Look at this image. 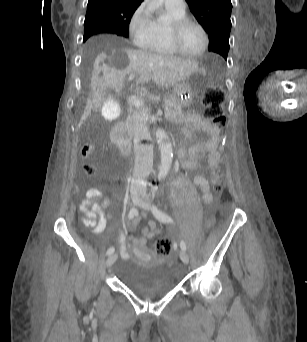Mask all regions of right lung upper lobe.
I'll use <instances>...</instances> for the list:
<instances>
[{"label":"right lung upper lobe","mask_w":307,"mask_h":342,"mask_svg":"<svg viewBox=\"0 0 307 342\" xmlns=\"http://www.w3.org/2000/svg\"><path fill=\"white\" fill-rule=\"evenodd\" d=\"M143 0H89L87 16L99 24L120 31H128L131 17Z\"/></svg>","instance_id":"right-lung-upper-lobe-1"}]
</instances>
